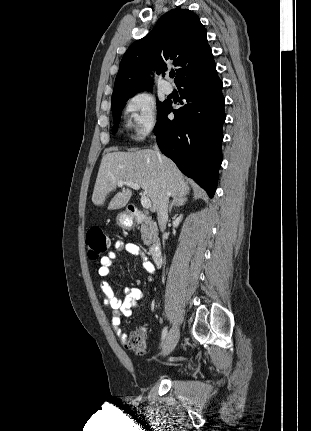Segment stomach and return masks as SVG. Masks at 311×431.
<instances>
[{
  "instance_id": "stomach-1",
  "label": "stomach",
  "mask_w": 311,
  "mask_h": 431,
  "mask_svg": "<svg viewBox=\"0 0 311 431\" xmlns=\"http://www.w3.org/2000/svg\"><path fill=\"white\" fill-rule=\"evenodd\" d=\"M116 223L119 227H122V229H133L136 225L135 217L130 216L127 212H120V214H117Z\"/></svg>"
}]
</instances>
